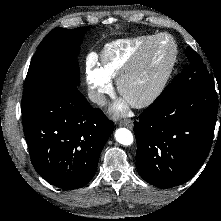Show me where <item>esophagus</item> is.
<instances>
[{
	"mask_svg": "<svg viewBox=\"0 0 221 221\" xmlns=\"http://www.w3.org/2000/svg\"><path fill=\"white\" fill-rule=\"evenodd\" d=\"M119 125H120V126H125V127H127V128L132 129V127H133V121L130 120V119L122 120V121L119 122Z\"/></svg>",
	"mask_w": 221,
	"mask_h": 221,
	"instance_id": "1",
	"label": "esophagus"
}]
</instances>
